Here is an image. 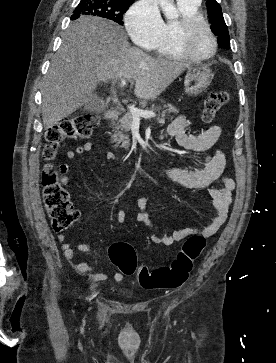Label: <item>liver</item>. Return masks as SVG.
I'll return each instance as SVG.
<instances>
[{
	"label": "liver",
	"instance_id": "liver-1",
	"mask_svg": "<svg viewBox=\"0 0 276 363\" xmlns=\"http://www.w3.org/2000/svg\"><path fill=\"white\" fill-rule=\"evenodd\" d=\"M189 68L132 47L123 28L110 20L82 16L65 31L44 78V128H52L84 106L101 82L134 80L135 95L150 100Z\"/></svg>",
	"mask_w": 276,
	"mask_h": 363
}]
</instances>
